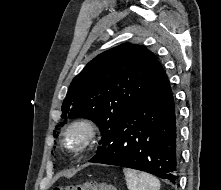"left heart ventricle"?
Masks as SVG:
<instances>
[{
	"instance_id": "1",
	"label": "left heart ventricle",
	"mask_w": 221,
	"mask_h": 190,
	"mask_svg": "<svg viewBox=\"0 0 221 190\" xmlns=\"http://www.w3.org/2000/svg\"><path fill=\"white\" fill-rule=\"evenodd\" d=\"M70 144H77L80 141V136L78 133H71L68 137Z\"/></svg>"
}]
</instances>
